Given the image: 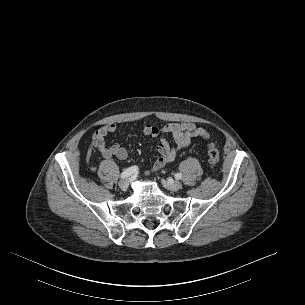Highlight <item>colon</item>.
Returning a JSON list of instances; mask_svg holds the SVG:
<instances>
[{
	"mask_svg": "<svg viewBox=\"0 0 305 305\" xmlns=\"http://www.w3.org/2000/svg\"><path fill=\"white\" fill-rule=\"evenodd\" d=\"M208 162L212 168H215L219 162V151L213 143L208 145Z\"/></svg>",
	"mask_w": 305,
	"mask_h": 305,
	"instance_id": "obj_1",
	"label": "colon"
}]
</instances>
